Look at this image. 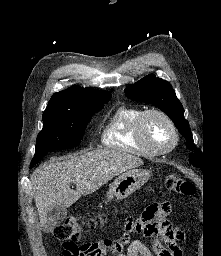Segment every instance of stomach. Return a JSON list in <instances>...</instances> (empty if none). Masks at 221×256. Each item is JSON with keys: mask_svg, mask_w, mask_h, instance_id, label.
<instances>
[{"mask_svg": "<svg viewBox=\"0 0 221 256\" xmlns=\"http://www.w3.org/2000/svg\"><path fill=\"white\" fill-rule=\"evenodd\" d=\"M150 177L151 173L143 169L129 170L123 173L109 185L108 200L127 198L142 187Z\"/></svg>", "mask_w": 221, "mask_h": 256, "instance_id": "obj_1", "label": "stomach"}]
</instances>
